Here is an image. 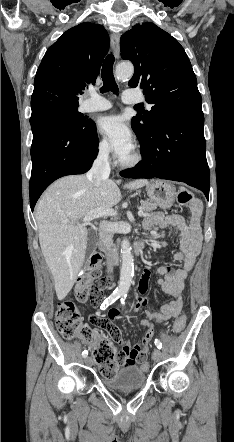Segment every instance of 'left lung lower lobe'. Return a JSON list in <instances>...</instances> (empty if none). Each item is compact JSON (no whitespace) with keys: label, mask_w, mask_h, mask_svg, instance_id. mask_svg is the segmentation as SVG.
<instances>
[{"label":"left lung lower lobe","mask_w":234,"mask_h":442,"mask_svg":"<svg viewBox=\"0 0 234 442\" xmlns=\"http://www.w3.org/2000/svg\"><path fill=\"white\" fill-rule=\"evenodd\" d=\"M203 127L202 110L180 112L159 123L147 143L140 144L142 161L121 176L181 181L202 190L209 198Z\"/></svg>","instance_id":"obj_1"}]
</instances>
